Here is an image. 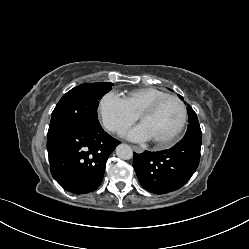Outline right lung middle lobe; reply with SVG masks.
<instances>
[{"mask_svg": "<svg viewBox=\"0 0 249 249\" xmlns=\"http://www.w3.org/2000/svg\"><path fill=\"white\" fill-rule=\"evenodd\" d=\"M112 86L113 83H86L68 91L52 112L47 139L76 129L100 128L97 107Z\"/></svg>", "mask_w": 249, "mask_h": 249, "instance_id": "1", "label": "right lung middle lobe"}]
</instances>
